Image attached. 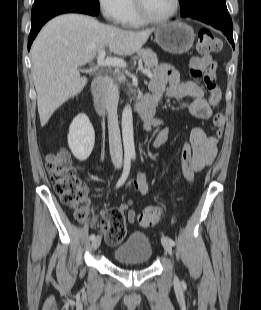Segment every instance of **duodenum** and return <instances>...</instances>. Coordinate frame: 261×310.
Segmentation results:
<instances>
[{
    "instance_id": "410a0bca",
    "label": "duodenum",
    "mask_w": 261,
    "mask_h": 310,
    "mask_svg": "<svg viewBox=\"0 0 261 310\" xmlns=\"http://www.w3.org/2000/svg\"><path fill=\"white\" fill-rule=\"evenodd\" d=\"M92 94L94 101L98 108L101 106L102 102V90H103V76L102 74L95 77L92 82ZM158 105V99L154 96L144 97L136 106L135 110L138 115L143 119L145 127L150 123L151 118Z\"/></svg>"
}]
</instances>
